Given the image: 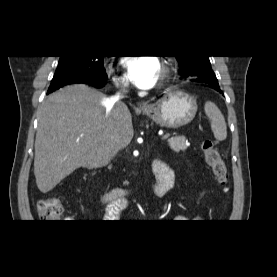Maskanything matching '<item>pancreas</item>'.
<instances>
[{"label": "pancreas", "instance_id": "1", "mask_svg": "<svg viewBox=\"0 0 277 277\" xmlns=\"http://www.w3.org/2000/svg\"><path fill=\"white\" fill-rule=\"evenodd\" d=\"M168 144L170 148L175 152L186 150L189 146L188 141L183 136H176V137L170 138L168 140Z\"/></svg>", "mask_w": 277, "mask_h": 277}]
</instances>
